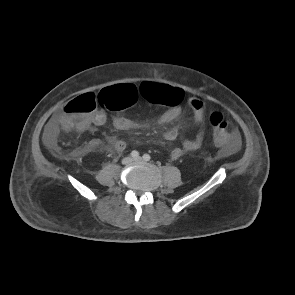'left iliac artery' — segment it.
Instances as JSON below:
<instances>
[{
  "label": "left iliac artery",
  "instance_id": "obj_1",
  "mask_svg": "<svg viewBox=\"0 0 295 295\" xmlns=\"http://www.w3.org/2000/svg\"><path fill=\"white\" fill-rule=\"evenodd\" d=\"M143 159H144L145 161H149V160L151 159V157H150L149 154H144V155H143Z\"/></svg>",
  "mask_w": 295,
  "mask_h": 295
}]
</instances>
